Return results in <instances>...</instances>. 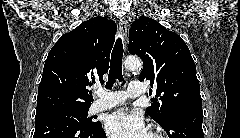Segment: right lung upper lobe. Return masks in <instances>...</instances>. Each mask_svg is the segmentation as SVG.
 Segmentation results:
<instances>
[{"label": "right lung upper lobe", "mask_w": 240, "mask_h": 138, "mask_svg": "<svg viewBox=\"0 0 240 138\" xmlns=\"http://www.w3.org/2000/svg\"><path fill=\"white\" fill-rule=\"evenodd\" d=\"M116 31L115 22L99 16L60 37L45 61L36 115L90 107L87 87L103 83Z\"/></svg>", "instance_id": "1"}]
</instances>
